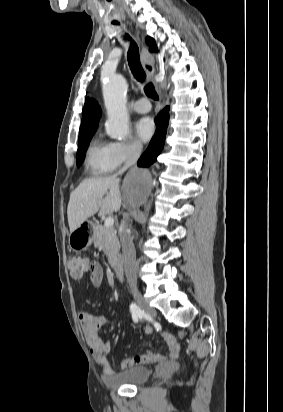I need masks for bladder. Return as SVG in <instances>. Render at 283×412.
<instances>
[{
  "label": "bladder",
  "mask_w": 283,
  "mask_h": 412,
  "mask_svg": "<svg viewBox=\"0 0 283 412\" xmlns=\"http://www.w3.org/2000/svg\"><path fill=\"white\" fill-rule=\"evenodd\" d=\"M150 370L145 366H135L119 372H111L105 376V382L111 387L141 385L148 381Z\"/></svg>",
  "instance_id": "obj_1"
}]
</instances>
